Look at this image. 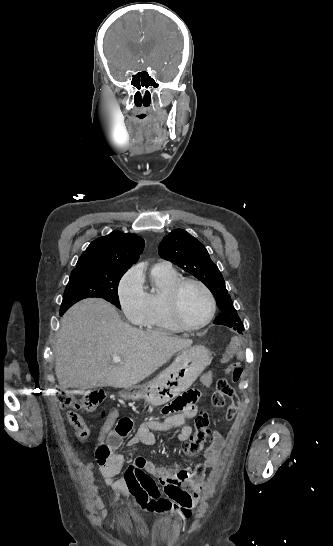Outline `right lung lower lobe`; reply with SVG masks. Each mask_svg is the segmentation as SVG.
I'll return each instance as SVG.
<instances>
[{
    "label": "right lung lower lobe",
    "instance_id": "right-lung-lower-lobe-1",
    "mask_svg": "<svg viewBox=\"0 0 333 546\" xmlns=\"http://www.w3.org/2000/svg\"><path fill=\"white\" fill-rule=\"evenodd\" d=\"M64 312H65V311H60V315H63Z\"/></svg>",
    "mask_w": 333,
    "mask_h": 546
}]
</instances>
